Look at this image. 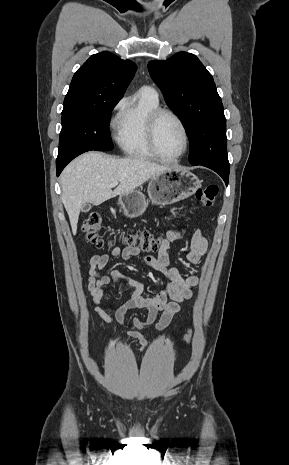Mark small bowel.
Returning <instances> with one entry per match:
<instances>
[{"mask_svg":"<svg viewBox=\"0 0 289 465\" xmlns=\"http://www.w3.org/2000/svg\"><path fill=\"white\" fill-rule=\"evenodd\" d=\"M186 232L185 228L169 230L163 238L157 256L141 255L140 250L133 247L120 249L114 247L109 253L95 255L90 259L88 292L95 305V311L107 323L113 321L124 324L126 313L133 308H145L148 310L146 318H135L132 327L127 334L139 341L142 348H146L148 342L141 330L153 325L157 330H164L173 323L174 316L180 311V303L189 300L193 294V288L198 285L199 278L194 274H184L176 267H170L167 249L170 242L178 239ZM208 243L198 228H193L190 234V250L188 260L193 265H198L206 256ZM121 256L124 260L141 257L143 262L155 271L161 273L165 279V287L151 296L145 295L144 285L124 275L117 269L104 273L106 265L116 257ZM121 280L126 281L131 287V296L123 304L114 307V316L108 315L100 306L101 299L106 289ZM170 299V301L168 300ZM161 318L155 323L158 313Z\"/></svg>","mask_w":289,"mask_h":465,"instance_id":"small-bowel-1","label":"small bowel"}]
</instances>
